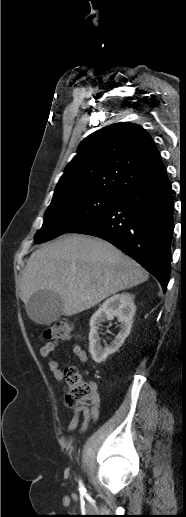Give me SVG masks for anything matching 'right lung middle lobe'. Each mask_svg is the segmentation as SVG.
<instances>
[{
  "label": "right lung middle lobe",
  "mask_w": 186,
  "mask_h": 517,
  "mask_svg": "<svg viewBox=\"0 0 186 517\" xmlns=\"http://www.w3.org/2000/svg\"><path fill=\"white\" fill-rule=\"evenodd\" d=\"M119 196L81 193L52 199L41 229L35 234L37 243L70 232L115 204Z\"/></svg>",
  "instance_id": "dd1d6c3e"
}]
</instances>
